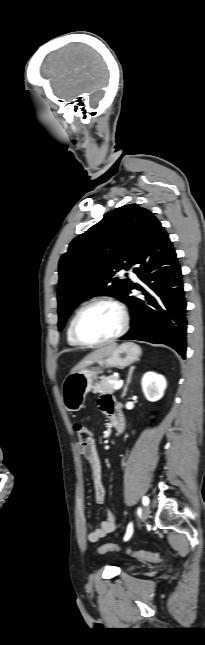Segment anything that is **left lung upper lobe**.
I'll use <instances>...</instances> for the list:
<instances>
[{
  "mask_svg": "<svg viewBox=\"0 0 205 645\" xmlns=\"http://www.w3.org/2000/svg\"><path fill=\"white\" fill-rule=\"evenodd\" d=\"M155 219L148 209L124 205L70 243L59 261V330L75 307L93 296L125 298L131 281L114 275L130 268L140 240Z\"/></svg>",
  "mask_w": 205,
  "mask_h": 645,
  "instance_id": "1",
  "label": "left lung upper lobe"
}]
</instances>
